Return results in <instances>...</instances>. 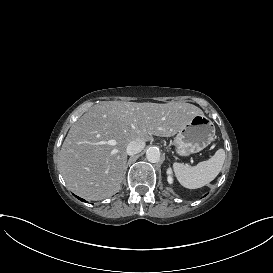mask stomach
<instances>
[{"mask_svg":"<svg viewBox=\"0 0 273 273\" xmlns=\"http://www.w3.org/2000/svg\"><path fill=\"white\" fill-rule=\"evenodd\" d=\"M215 126L204 115H196L174 138L176 152L181 156H188L206 148L214 139Z\"/></svg>","mask_w":273,"mask_h":273,"instance_id":"obj_1","label":"stomach"}]
</instances>
